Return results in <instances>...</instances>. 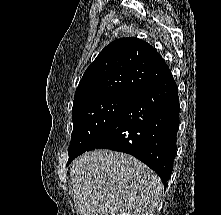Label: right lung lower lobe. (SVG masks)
Instances as JSON below:
<instances>
[{
    "label": "right lung lower lobe",
    "instance_id": "98d812e1",
    "mask_svg": "<svg viewBox=\"0 0 221 215\" xmlns=\"http://www.w3.org/2000/svg\"><path fill=\"white\" fill-rule=\"evenodd\" d=\"M178 125V88L170 72L133 96L87 151L105 148L131 154L154 170L166 187L173 167Z\"/></svg>",
    "mask_w": 221,
    "mask_h": 215
}]
</instances>
